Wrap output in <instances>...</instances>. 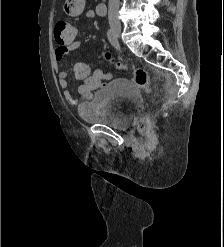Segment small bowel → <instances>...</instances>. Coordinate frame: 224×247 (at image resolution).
Wrapping results in <instances>:
<instances>
[{"label": "small bowel", "instance_id": "1", "mask_svg": "<svg viewBox=\"0 0 224 247\" xmlns=\"http://www.w3.org/2000/svg\"><path fill=\"white\" fill-rule=\"evenodd\" d=\"M65 12L73 17L79 16L82 14L84 10V0H65L64 4ZM86 19H93L96 17L94 10H88L85 12ZM58 46L54 50V57L57 61L62 60L69 52L80 50L82 45L80 42L74 40L61 42L57 41ZM67 72L62 70L58 73V83L59 86L64 90L63 96L65 100L71 104L75 105L77 100L71 95L70 91L68 90V80H67Z\"/></svg>", "mask_w": 224, "mask_h": 247}]
</instances>
